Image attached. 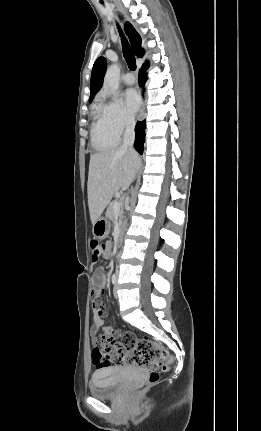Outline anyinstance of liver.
<instances>
[{
    "label": "liver",
    "mask_w": 261,
    "mask_h": 431,
    "mask_svg": "<svg viewBox=\"0 0 261 431\" xmlns=\"http://www.w3.org/2000/svg\"><path fill=\"white\" fill-rule=\"evenodd\" d=\"M139 165L138 153L121 147L91 155L87 193L92 224L119 189H128Z\"/></svg>",
    "instance_id": "6515ba94"
}]
</instances>
